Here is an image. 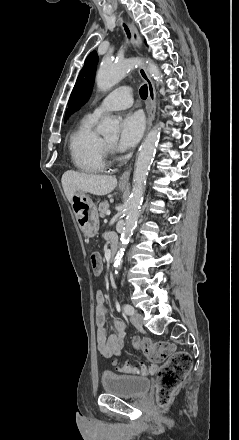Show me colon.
I'll return each instance as SVG.
<instances>
[{
    "instance_id": "colon-1",
    "label": "colon",
    "mask_w": 239,
    "mask_h": 440,
    "mask_svg": "<svg viewBox=\"0 0 239 440\" xmlns=\"http://www.w3.org/2000/svg\"><path fill=\"white\" fill-rule=\"evenodd\" d=\"M91 265L95 274H100L102 265L97 254L91 255ZM134 346L140 348L153 363L148 369L131 365L121 367V371L132 374L157 373V398L160 404H167L174 391L180 386L192 367V357L185 351H176L168 342H151L148 339L135 338ZM165 361L160 367L158 363Z\"/></svg>"
}]
</instances>
